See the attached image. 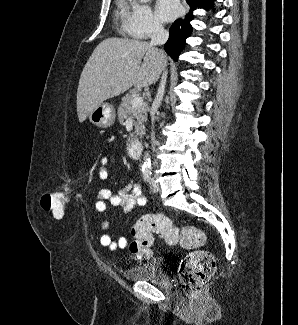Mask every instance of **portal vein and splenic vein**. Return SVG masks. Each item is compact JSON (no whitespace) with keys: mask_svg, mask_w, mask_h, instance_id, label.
I'll list each match as a JSON object with an SVG mask.
<instances>
[{"mask_svg":"<svg viewBox=\"0 0 298 325\" xmlns=\"http://www.w3.org/2000/svg\"><path fill=\"white\" fill-rule=\"evenodd\" d=\"M143 104V96H134L132 98V110H135V108H138V106H142Z\"/></svg>","mask_w":298,"mask_h":325,"instance_id":"1","label":"portal vein and splenic vein"}]
</instances>
